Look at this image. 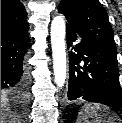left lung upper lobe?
I'll return each instance as SVG.
<instances>
[{"label":"left lung upper lobe","mask_w":122,"mask_h":123,"mask_svg":"<svg viewBox=\"0 0 122 123\" xmlns=\"http://www.w3.org/2000/svg\"><path fill=\"white\" fill-rule=\"evenodd\" d=\"M58 12L66 16L68 29L86 40L116 52L108 14L98 0H62Z\"/></svg>","instance_id":"left-lung-upper-lobe-1"}]
</instances>
